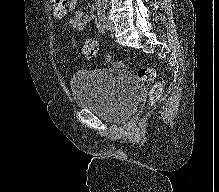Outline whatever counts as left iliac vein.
I'll return each instance as SVG.
<instances>
[{"label":"left iliac vein","instance_id":"1","mask_svg":"<svg viewBox=\"0 0 219 192\" xmlns=\"http://www.w3.org/2000/svg\"><path fill=\"white\" fill-rule=\"evenodd\" d=\"M105 27L109 32H114L115 31L114 23L107 17L105 19Z\"/></svg>","mask_w":219,"mask_h":192}]
</instances>
